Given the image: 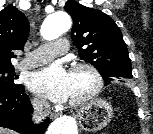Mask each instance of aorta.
Instances as JSON below:
<instances>
[{"instance_id":"obj_1","label":"aorta","mask_w":153,"mask_h":134,"mask_svg":"<svg viewBox=\"0 0 153 134\" xmlns=\"http://www.w3.org/2000/svg\"><path fill=\"white\" fill-rule=\"evenodd\" d=\"M71 27V19L65 12L57 11L45 19L40 33L46 40L58 38ZM47 134H78V127L73 118L62 116L56 119L48 128Z\"/></svg>"}]
</instances>
